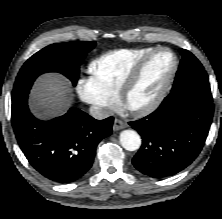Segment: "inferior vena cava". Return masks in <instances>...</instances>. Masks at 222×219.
<instances>
[{
    "label": "inferior vena cava",
    "mask_w": 222,
    "mask_h": 219,
    "mask_svg": "<svg viewBox=\"0 0 222 219\" xmlns=\"http://www.w3.org/2000/svg\"><path fill=\"white\" fill-rule=\"evenodd\" d=\"M89 112L95 119H105L113 114L111 109L99 106H91Z\"/></svg>",
    "instance_id": "1"
}]
</instances>
